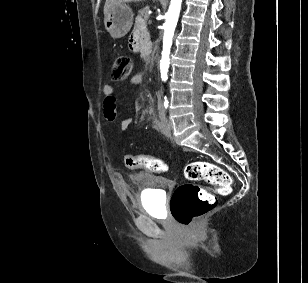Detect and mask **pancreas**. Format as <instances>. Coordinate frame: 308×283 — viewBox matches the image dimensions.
<instances>
[{
  "label": "pancreas",
  "mask_w": 308,
  "mask_h": 283,
  "mask_svg": "<svg viewBox=\"0 0 308 283\" xmlns=\"http://www.w3.org/2000/svg\"><path fill=\"white\" fill-rule=\"evenodd\" d=\"M149 6H145L143 9L139 10V15L142 16L145 20L149 18Z\"/></svg>",
  "instance_id": "cf45deb5"
}]
</instances>
